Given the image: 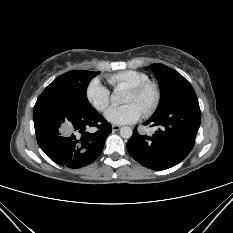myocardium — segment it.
Segmentation results:
<instances>
[{
	"label": "myocardium",
	"instance_id": "obj_1",
	"mask_svg": "<svg viewBox=\"0 0 233 233\" xmlns=\"http://www.w3.org/2000/svg\"><path fill=\"white\" fill-rule=\"evenodd\" d=\"M128 90L139 96L144 95L148 90L153 92L152 99L147 103L143 110V114L145 116L152 114L158 107L161 99V90L157 82L149 79L135 86L129 87Z\"/></svg>",
	"mask_w": 233,
	"mask_h": 233
}]
</instances>
